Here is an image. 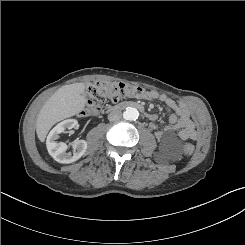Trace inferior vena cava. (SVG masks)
<instances>
[{"label":"inferior vena cava","mask_w":245,"mask_h":245,"mask_svg":"<svg viewBox=\"0 0 245 245\" xmlns=\"http://www.w3.org/2000/svg\"><path fill=\"white\" fill-rule=\"evenodd\" d=\"M122 117V112L118 109H115L113 111H111L109 114H108V120L109 121H117L119 120L120 118Z\"/></svg>","instance_id":"obj_1"}]
</instances>
